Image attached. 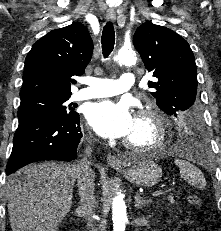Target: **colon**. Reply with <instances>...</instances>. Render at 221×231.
Listing matches in <instances>:
<instances>
[{
	"mask_svg": "<svg viewBox=\"0 0 221 231\" xmlns=\"http://www.w3.org/2000/svg\"><path fill=\"white\" fill-rule=\"evenodd\" d=\"M189 203L196 207V208H201L203 206V201L199 196L192 195L188 198Z\"/></svg>",
	"mask_w": 221,
	"mask_h": 231,
	"instance_id": "1",
	"label": "colon"
}]
</instances>
